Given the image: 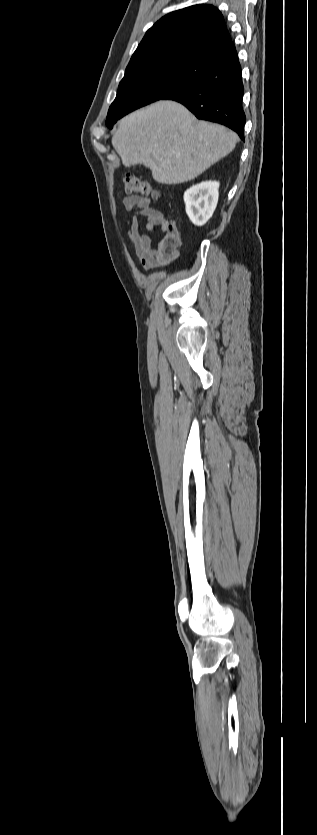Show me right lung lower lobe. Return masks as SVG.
Returning a JSON list of instances; mask_svg holds the SVG:
<instances>
[{
	"label": "right lung lower lobe",
	"instance_id": "obj_1",
	"mask_svg": "<svg viewBox=\"0 0 317 835\" xmlns=\"http://www.w3.org/2000/svg\"><path fill=\"white\" fill-rule=\"evenodd\" d=\"M193 57L204 70L205 78L174 91L164 99L180 102L198 119L229 127L244 140L243 84L234 44L229 42Z\"/></svg>",
	"mask_w": 317,
	"mask_h": 835
}]
</instances>
